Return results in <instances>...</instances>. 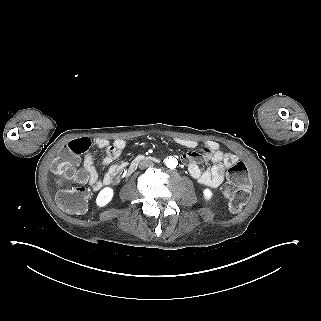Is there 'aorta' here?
<instances>
[{"instance_id":"obj_1","label":"aorta","mask_w":321,"mask_h":321,"mask_svg":"<svg viewBox=\"0 0 321 321\" xmlns=\"http://www.w3.org/2000/svg\"><path fill=\"white\" fill-rule=\"evenodd\" d=\"M164 162L165 165L170 169H174L178 165L177 159L173 157L166 158Z\"/></svg>"}]
</instances>
